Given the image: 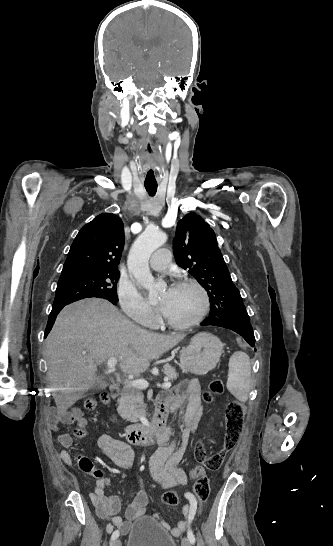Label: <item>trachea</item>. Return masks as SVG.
<instances>
[{
  "label": "trachea",
  "mask_w": 333,
  "mask_h": 546,
  "mask_svg": "<svg viewBox=\"0 0 333 546\" xmlns=\"http://www.w3.org/2000/svg\"><path fill=\"white\" fill-rule=\"evenodd\" d=\"M148 175H151L152 177H154V172L153 170H150L148 173H147V176ZM145 186V189L146 191L149 193L150 196H154L156 194V191H157V184H148V183H145L144 184Z\"/></svg>",
  "instance_id": "obj_1"
}]
</instances>
